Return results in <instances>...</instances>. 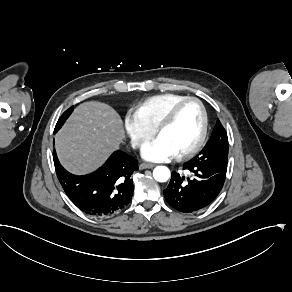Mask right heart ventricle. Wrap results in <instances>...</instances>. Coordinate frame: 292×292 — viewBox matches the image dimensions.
Instances as JSON below:
<instances>
[{"mask_svg":"<svg viewBox=\"0 0 292 292\" xmlns=\"http://www.w3.org/2000/svg\"><path fill=\"white\" fill-rule=\"evenodd\" d=\"M186 95L167 92L148 97L132 106L131 111L149 128L154 129L164 112Z\"/></svg>","mask_w":292,"mask_h":292,"instance_id":"right-heart-ventricle-1","label":"right heart ventricle"}]
</instances>
